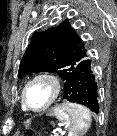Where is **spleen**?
Wrapping results in <instances>:
<instances>
[{"label": "spleen", "mask_w": 117, "mask_h": 136, "mask_svg": "<svg viewBox=\"0 0 117 136\" xmlns=\"http://www.w3.org/2000/svg\"><path fill=\"white\" fill-rule=\"evenodd\" d=\"M51 115L65 123L69 129L68 136H80L91 126L90 112L80 104L63 103L55 107Z\"/></svg>", "instance_id": "3e777b00"}]
</instances>
